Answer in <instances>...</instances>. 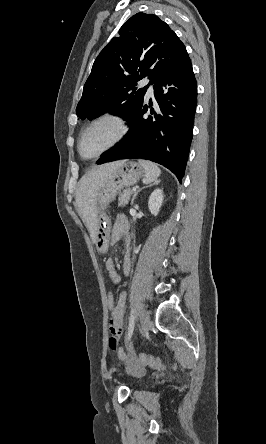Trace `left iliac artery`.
Returning a JSON list of instances; mask_svg holds the SVG:
<instances>
[{"instance_id":"44dca946","label":"left iliac artery","mask_w":266,"mask_h":444,"mask_svg":"<svg viewBox=\"0 0 266 444\" xmlns=\"http://www.w3.org/2000/svg\"><path fill=\"white\" fill-rule=\"evenodd\" d=\"M134 326H135V315H134V310H131V314H130V318H129V327H128V334H127V339L126 342H129L133 331H134Z\"/></svg>"}]
</instances>
